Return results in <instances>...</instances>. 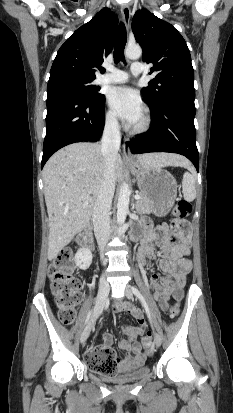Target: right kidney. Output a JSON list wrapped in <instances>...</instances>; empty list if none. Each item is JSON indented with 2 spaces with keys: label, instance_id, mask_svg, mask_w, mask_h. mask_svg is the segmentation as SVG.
<instances>
[{
  "label": "right kidney",
  "instance_id": "ca27d5eb",
  "mask_svg": "<svg viewBox=\"0 0 233 413\" xmlns=\"http://www.w3.org/2000/svg\"><path fill=\"white\" fill-rule=\"evenodd\" d=\"M74 260L77 267L86 270L92 263V253L88 248H81L76 252Z\"/></svg>",
  "mask_w": 233,
  "mask_h": 413
}]
</instances>
